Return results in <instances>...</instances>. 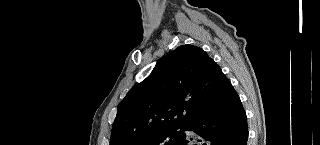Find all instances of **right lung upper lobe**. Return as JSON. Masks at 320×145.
Masks as SVG:
<instances>
[{"label": "right lung upper lobe", "instance_id": "1", "mask_svg": "<svg viewBox=\"0 0 320 145\" xmlns=\"http://www.w3.org/2000/svg\"><path fill=\"white\" fill-rule=\"evenodd\" d=\"M223 76L202 48L179 46L118 105L110 145H131L154 131L185 127L211 108Z\"/></svg>", "mask_w": 320, "mask_h": 145}]
</instances>
